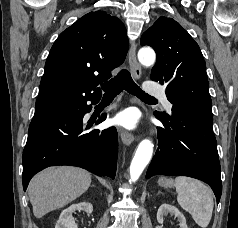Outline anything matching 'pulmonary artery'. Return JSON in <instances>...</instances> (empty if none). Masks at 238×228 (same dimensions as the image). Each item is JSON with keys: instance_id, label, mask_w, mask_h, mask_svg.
<instances>
[{"instance_id": "1", "label": "pulmonary artery", "mask_w": 238, "mask_h": 228, "mask_svg": "<svg viewBox=\"0 0 238 228\" xmlns=\"http://www.w3.org/2000/svg\"><path fill=\"white\" fill-rule=\"evenodd\" d=\"M144 88H145V93L150 96L151 95L161 96L162 99L164 100L166 108L168 110L171 109V104L167 100V98L164 96V89L160 85H157L156 82L150 80L145 83Z\"/></svg>"}]
</instances>
